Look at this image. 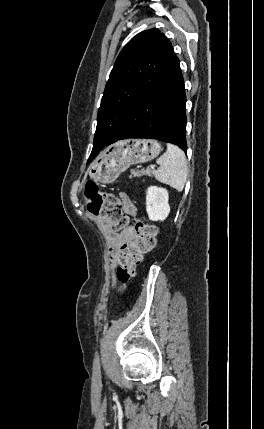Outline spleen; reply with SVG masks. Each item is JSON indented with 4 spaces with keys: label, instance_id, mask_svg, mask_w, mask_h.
<instances>
[{
    "label": "spleen",
    "instance_id": "spleen-1",
    "mask_svg": "<svg viewBox=\"0 0 264 429\" xmlns=\"http://www.w3.org/2000/svg\"><path fill=\"white\" fill-rule=\"evenodd\" d=\"M159 168L155 178L177 191H182L187 180V161L184 152L176 145L167 144L166 152L157 160Z\"/></svg>",
    "mask_w": 264,
    "mask_h": 429
}]
</instances>
